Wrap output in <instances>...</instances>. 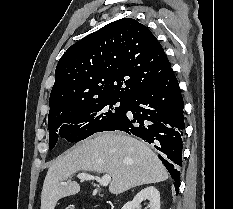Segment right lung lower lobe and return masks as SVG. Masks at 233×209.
<instances>
[{"instance_id": "obj_1", "label": "right lung lower lobe", "mask_w": 233, "mask_h": 209, "mask_svg": "<svg viewBox=\"0 0 233 209\" xmlns=\"http://www.w3.org/2000/svg\"><path fill=\"white\" fill-rule=\"evenodd\" d=\"M127 111H131L132 115ZM184 128L183 98L171 69L159 83L132 95L127 100L123 118L105 131H126L152 144L175 180L178 194Z\"/></svg>"}]
</instances>
